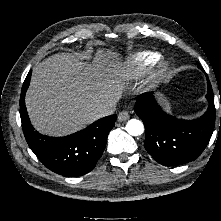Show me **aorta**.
Returning a JSON list of instances; mask_svg holds the SVG:
<instances>
[{"mask_svg": "<svg viewBox=\"0 0 221 221\" xmlns=\"http://www.w3.org/2000/svg\"><path fill=\"white\" fill-rule=\"evenodd\" d=\"M126 131L132 136H139L144 132V125L140 120L131 119L127 122Z\"/></svg>", "mask_w": 221, "mask_h": 221, "instance_id": "obj_1", "label": "aorta"}]
</instances>
